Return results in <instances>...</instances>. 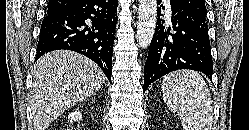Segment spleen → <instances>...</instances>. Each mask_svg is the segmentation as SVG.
I'll list each match as a JSON object with an SVG mask.
<instances>
[{
    "mask_svg": "<svg viewBox=\"0 0 249 130\" xmlns=\"http://www.w3.org/2000/svg\"><path fill=\"white\" fill-rule=\"evenodd\" d=\"M162 92L168 108L178 113L184 130H211V94L198 72L179 70L167 74L162 80Z\"/></svg>",
    "mask_w": 249,
    "mask_h": 130,
    "instance_id": "obj_1",
    "label": "spleen"
}]
</instances>
